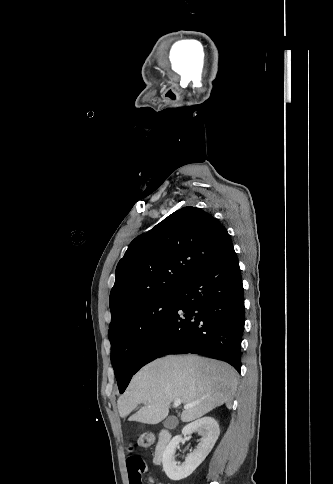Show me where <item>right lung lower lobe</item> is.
<instances>
[{
	"label": "right lung lower lobe",
	"mask_w": 333,
	"mask_h": 484,
	"mask_svg": "<svg viewBox=\"0 0 333 484\" xmlns=\"http://www.w3.org/2000/svg\"><path fill=\"white\" fill-rule=\"evenodd\" d=\"M244 298L240 267L233 245L178 294L174 310L143 347L135 374L168 354H199L241 370Z\"/></svg>",
	"instance_id": "right-lung-lower-lobe-1"
}]
</instances>
